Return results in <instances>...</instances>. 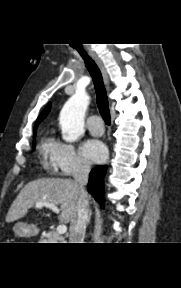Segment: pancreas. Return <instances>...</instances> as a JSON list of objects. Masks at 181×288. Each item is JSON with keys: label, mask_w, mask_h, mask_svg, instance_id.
I'll return each instance as SVG.
<instances>
[{"label": "pancreas", "mask_w": 181, "mask_h": 288, "mask_svg": "<svg viewBox=\"0 0 181 288\" xmlns=\"http://www.w3.org/2000/svg\"><path fill=\"white\" fill-rule=\"evenodd\" d=\"M41 243H63V237L54 231H50L45 236L41 237Z\"/></svg>", "instance_id": "1"}]
</instances>
